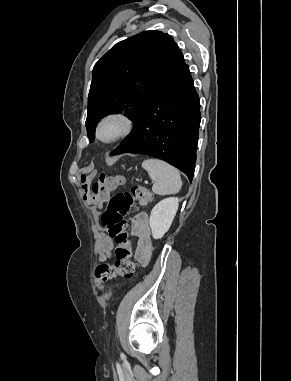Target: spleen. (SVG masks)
I'll return each mask as SVG.
<instances>
[{
	"mask_svg": "<svg viewBox=\"0 0 291 381\" xmlns=\"http://www.w3.org/2000/svg\"><path fill=\"white\" fill-rule=\"evenodd\" d=\"M142 167L148 172L153 181L152 191L158 195L176 194L182 187L178 170L172 165L159 159H146Z\"/></svg>",
	"mask_w": 291,
	"mask_h": 381,
	"instance_id": "spleen-1",
	"label": "spleen"
}]
</instances>
